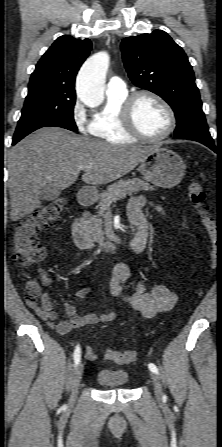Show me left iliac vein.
<instances>
[{"mask_svg":"<svg viewBox=\"0 0 222 447\" xmlns=\"http://www.w3.org/2000/svg\"><path fill=\"white\" fill-rule=\"evenodd\" d=\"M150 376L152 379L156 399L161 401L163 398V390H162L161 382H160L159 378L157 377V375H155L154 373H150Z\"/></svg>","mask_w":222,"mask_h":447,"instance_id":"obj_1","label":"left iliac vein"}]
</instances>
